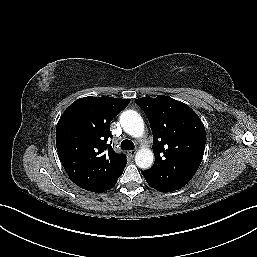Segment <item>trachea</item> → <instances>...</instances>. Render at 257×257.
Instances as JSON below:
<instances>
[{"mask_svg": "<svg viewBox=\"0 0 257 257\" xmlns=\"http://www.w3.org/2000/svg\"><path fill=\"white\" fill-rule=\"evenodd\" d=\"M122 150H133L134 149V143L130 140H123L120 145Z\"/></svg>", "mask_w": 257, "mask_h": 257, "instance_id": "obj_1", "label": "trachea"}]
</instances>
